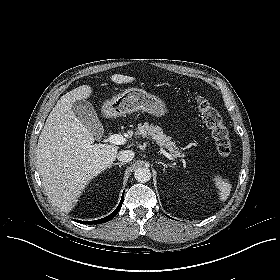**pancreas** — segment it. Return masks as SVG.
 Wrapping results in <instances>:
<instances>
[{
    "instance_id": "pancreas-1",
    "label": "pancreas",
    "mask_w": 280,
    "mask_h": 280,
    "mask_svg": "<svg viewBox=\"0 0 280 280\" xmlns=\"http://www.w3.org/2000/svg\"><path fill=\"white\" fill-rule=\"evenodd\" d=\"M137 136L142 138H151L155 140L161 147L169 151L174 157L182 156V151L176 146V143L171 141V137L163 133V130L159 126L153 124H138L137 131L135 133Z\"/></svg>"
}]
</instances>
